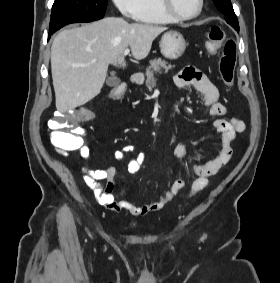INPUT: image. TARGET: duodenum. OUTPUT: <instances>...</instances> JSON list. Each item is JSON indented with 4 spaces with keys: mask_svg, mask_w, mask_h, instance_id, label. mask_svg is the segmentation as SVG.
Masks as SVG:
<instances>
[{
    "mask_svg": "<svg viewBox=\"0 0 280 283\" xmlns=\"http://www.w3.org/2000/svg\"><path fill=\"white\" fill-rule=\"evenodd\" d=\"M131 80H132L133 85H141L144 83V77L143 75L139 73L133 74Z\"/></svg>",
    "mask_w": 280,
    "mask_h": 283,
    "instance_id": "duodenum-1",
    "label": "duodenum"
}]
</instances>
